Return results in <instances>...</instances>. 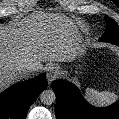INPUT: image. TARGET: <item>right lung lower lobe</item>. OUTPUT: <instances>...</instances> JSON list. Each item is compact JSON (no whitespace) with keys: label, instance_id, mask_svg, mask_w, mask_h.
I'll return each instance as SVG.
<instances>
[{"label":"right lung lower lobe","instance_id":"98d812e1","mask_svg":"<svg viewBox=\"0 0 119 119\" xmlns=\"http://www.w3.org/2000/svg\"><path fill=\"white\" fill-rule=\"evenodd\" d=\"M45 75L14 84L0 94V119H26L27 111L47 88Z\"/></svg>","mask_w":119,"mask_h":119}]
</instances>
